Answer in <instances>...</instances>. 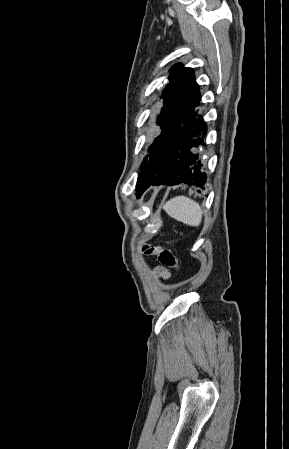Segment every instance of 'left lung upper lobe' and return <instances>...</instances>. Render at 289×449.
I'll use <instances>...</instances> for the list:
<instances>
[{
	"mask_svg": "<svg viewBox=\"0 0 289 449\" xmlns=\"http://www.w3.org/2000/svg\"><path fill=\"white\" fill-rule=\"evenodd\" d=\"M170 72L169 83L162 93L163 107L158 116L161 134L149 147L151 152L141 165L137 186L158 174L165 157V144L189 121L199 105V86L193 70L176 64Z\"/></svg>",
	"mask_w": 289,
	"mask_h": 449,
	"instance_id": "1",
	"label": "left lung upper lobe"
}]
</instances>
